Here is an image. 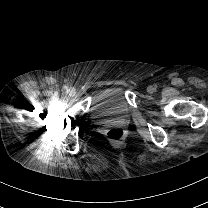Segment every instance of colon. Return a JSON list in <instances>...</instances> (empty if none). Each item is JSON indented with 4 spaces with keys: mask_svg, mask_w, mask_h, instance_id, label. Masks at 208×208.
<instances>
[{
    "mask_svg": "<svg viewBox=\"0 0 208 208\" xmlns=\"http://www.w3.org/2000/svg\"><path fill=\"white\" fill-rule=\"evenodd\" d=\"M123 130L120 128H113L110 129L107 133L108 138L114 140V141H118L123 137Z\"/></svg>",
    "mask_w": 208,
    "mask_h": 208,
    "instance_id": "1",
    "label": "colon"
}]
</instances>
